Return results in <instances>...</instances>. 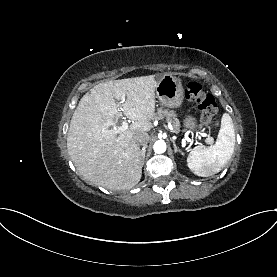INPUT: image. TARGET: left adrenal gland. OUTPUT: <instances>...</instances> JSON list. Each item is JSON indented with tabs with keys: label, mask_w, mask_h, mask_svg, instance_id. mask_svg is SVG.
Segmentation results:
<instances>
[{
	"label": "left adrenal gland",
	"mask_w": 277,
	"mask_h": 277,
	"mask_svg": "<svg viewBox=\"0 0 277 277\" xmlns=\"http://www.w3.org/2000/svg\"><path fill=\"white\" fill-rule=\"evenodd\" d=\"M171 141L173 143L174 152L175 153L179 152L181 155H184V153L180 149H178V147L176 146L175 141L173 139H171Z\"/></svg>",
	"instance_id": "left-adrenal-gland-1"
}]
</instances>
